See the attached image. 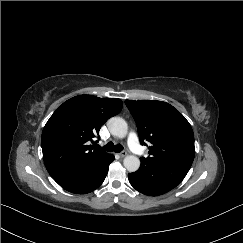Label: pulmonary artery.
<instances>
[{"instance_id":"obj_1","label":"pulmonary artery","mask_w":243,"mask_h":243,"mask_svg":"<svg viewBox=\"0 0 243 243\" xmlns=\"http://www.w3.org/2000/svg\"><path fill=\"white\" fill-rule=\"evenodd\" d=\"M128 144L135 149L136 154L140 153L138 151V148H139L138 138H137V135L134 132H131L128 135Z\"/></svg>"}]
</instances>
